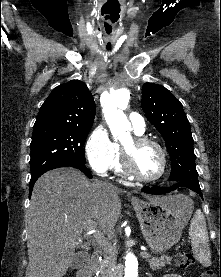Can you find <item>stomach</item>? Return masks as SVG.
Masks as SVG:
<instances>
[{
  "mask_svg": "<svg viewBox=\"0 0 221 277\" xmlns=\"http://www.w3.org/2000/svg\"><path fill=\"white\" fill-rule=\"evenodd\" d=\"M132 205L142 234L155 253L166 251L179 241L193 207L187 198H180L172 204L161 200L132 199Z\"/></svg>",
  "mask_w": 221,
  "mask_h": 277,
  "instance_id": "stomach-1",
  "label": "stomach"
}]
</instances>
